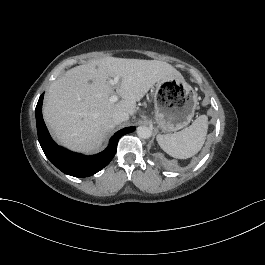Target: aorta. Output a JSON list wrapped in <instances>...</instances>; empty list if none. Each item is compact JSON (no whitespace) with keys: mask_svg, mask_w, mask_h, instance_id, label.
<instances>
[{"mask_svg":"<svg viewBox=\"0 0 265 265\" xmlns=\"http://www.w3.org/2000/svg\"><path fill=\"white\" fill-rule=\"evenodd\" d=\"M137 134L140 138L148 139L152 135V129L147 126H139L137 128Z\"/></svg>","mask_w":265,"mask_h":265,"instance_id":"1","label":"aorta"}]
</instances>
